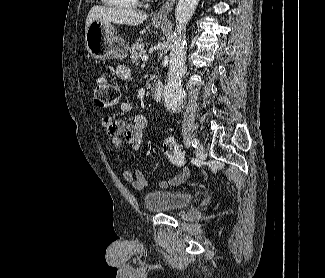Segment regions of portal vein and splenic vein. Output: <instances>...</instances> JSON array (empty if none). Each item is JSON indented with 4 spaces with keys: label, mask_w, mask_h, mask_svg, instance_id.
I'll use <instances>...</instances> for the list:
<instances>
[{
    "label": "portal vein and splenic vein",
    "mask_w": 325,
    "mask_h": 278,
    "mask_svg": "<svg viewBox=\"0 0 325 278\" xmlns=\"http://www.w3.org/2000/svg\"><path fill=\"white\" fill-rule=\"evenodd\" d=\"M148 58H149V56L145 54V55L142 57V60H143V61H147Z\"/></svg>",
    "instance_id": "1"
}]
</instances>
